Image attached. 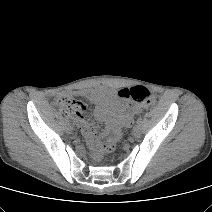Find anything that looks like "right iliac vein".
Here are the masks:
<instances>
[{"label": "right iliac vein", "mask_w": 212, "mask_h": 212, "mask_svg": "<svg viewBox=\"0 0 212 212\" xmlns=\"http://www.w3.org/2000/svg\"><path fill=\"white\" fill-rule=\"evenodd\" d=\"M66 129L68 132H72V130H73L72 126L69 124L67 125Z\"/></svg>", "instance_id": "right-iliac-vein-1"}]
</instances>
